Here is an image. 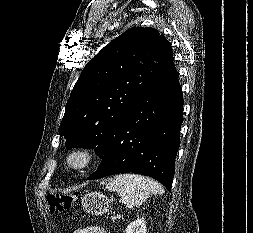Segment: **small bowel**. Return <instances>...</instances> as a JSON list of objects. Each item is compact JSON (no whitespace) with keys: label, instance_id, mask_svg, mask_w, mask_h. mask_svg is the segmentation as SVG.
Wrapping results in <instances>:
<instances>
[{"label":"small bowel","instance_id":"small-bowel-1","mask_svg":"<svg viewBox=\"0 0 253 233\" xmlns=\"http://www.w3.org/2000/svg\"><path fill=\"white\" fill-rule=\"evenodd\" d=\"M74 233H105V231L99 227H87L77 230Z\"/></svg>","mask_w":253,"mask_h":233}]
</instances>
